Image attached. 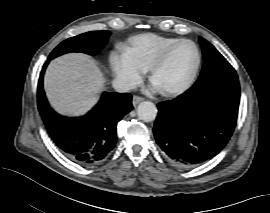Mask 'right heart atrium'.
Returning a JSON list of instances; mask_svg holds the SVG:
<instances>
[{"label":"right heart atrium","instance_id":"d8ad5b80","mask_svg":"<svg viewBox=\"0 0 270 213\" xmlns=\"http://www.w3.org/2000/svg\"><path fill=\"white\" fill-rule=\"evenodd\" d=\"M112 66L117 78L129 87L139 84L144 74L143 68L130 64L123 54L112 55Z\"/></svg>","mask_w":270,"mask_h":213}]
</instances>
